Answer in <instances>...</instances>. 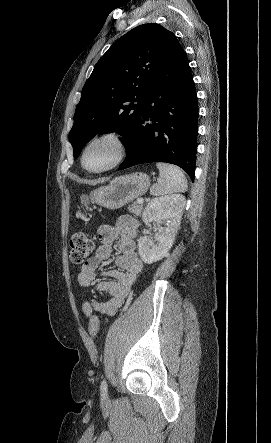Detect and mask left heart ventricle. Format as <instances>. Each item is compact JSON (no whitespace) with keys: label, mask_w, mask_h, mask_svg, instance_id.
I'll use <instances>...</instances> for the list:
<instances>
[{"label":"left heart ventricle","mask_w":271,"mask_h":443,"mask_svg":"<svg viewBox=\"0 0 271 443\" xmlns=\"http://www.w3.org/2000/svg\"><path fill=\"white\" fill-rule=\"evenodd\" d=\"M117 147L111 139H101L90 144L83 156V165L88 170H98L110 164L116 157Z\"/></svg>","instance_id":"b2bd125f"}]
</instances>
